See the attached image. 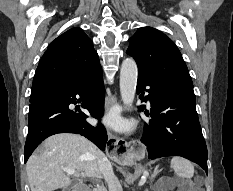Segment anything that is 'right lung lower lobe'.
Masks as SVG:
<instances>
[{"mask_svg": "<svg viewBox=\"0 0 233 191\" xmlns=\"http://www.w3.org/2000/svg\"><path fill=\"white\" fill-rule=\"evenodd\" d=\"M77 95L86 100L83 108L93 117L99 119L103 115L105 89L101 68L78 82H45L32 86L24 162L45 138L56 133L83 135L105 150L108 137L104 127L91 126L85 113L69 109L70 104H76Z\"/></svg>", "mask_w": 233, "mask_h": 191, "instance_id": "1", "label": "right lung lower lobe"}]
</instances>
